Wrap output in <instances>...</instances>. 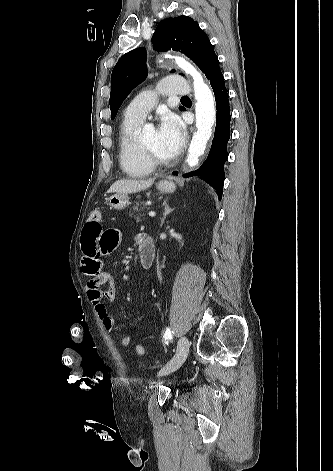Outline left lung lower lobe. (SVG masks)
I'll list each match as a JSON object with an SVG mask.
<instances>
[{"label": "left lung lower lobe", "instance_id": "left-lung-lower-lobe-1", "mask_svg": "<svg viewBox=\"0 0 333 471\" xmlns=\"http://www.w3.org/2000/svg\"><path fill=\"white\" fill-rule=\"evenodd\" d=\"M202 71L209 79L216 101V127L209 155L201 167L184 174V177L201 176L217 190L219 199L222 197L224 184V163L227 160V143L230 138L231 113L228 92L224 77L219 69V60L215 52L207 59ZM185 110V109H184ZM177 175V172L174 173Z\"/></svg>", "mask_w": 333, "mask_h": 471}]
</instances>
